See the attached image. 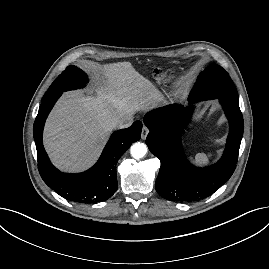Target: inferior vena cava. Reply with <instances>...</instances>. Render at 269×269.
Returning a JSON list of instances; mask_svg holds the SVG:
<instances>
[{"mask_svg":"<svg viewBox=\"0 0 269 269\" xmlns=\"http://www.w3.org/2000/svg\"><path fill=\"white\" fill-rule=\"evenodd\" d=\"M132 122H133V118L132 117H128V118H125V119L121 120L117 124V127L118 128H127V127L131 126Z\"/></svg>","mask_w":269,"mask_h":269,"instance_id":"inferior-vena-cava-1","label":"inferior vena cava"}]
</instances>
